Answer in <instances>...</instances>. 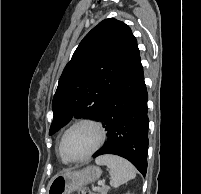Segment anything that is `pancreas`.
Returning <instances> with one entry per match:
<instances>
[{
	"label": "pancreas",
	"instance_id": "pancreas-1",
	"mask_svg": "<svg viewBox=\"0 0 201 194\" xmlns=\"http://www.w3.org/2000/svg\"><path fill=\"white\" fill-rule=\"evenodd\" d=\"M99 194H107L109 191L108 186L99 187L96 189Z\"/></svg>",
	"mask_w": 201,
	"mask_h": 194
}]
</instances>
